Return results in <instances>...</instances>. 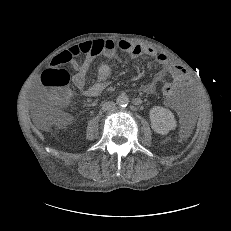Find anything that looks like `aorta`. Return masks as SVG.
<instances>
[{"label":"aorta","mask_w":231,"mask_h":231,"mask_svg":"<svg viewBox=\"0 0 231 231\" xmlns=\"http://www.w3.org/2000/svg\"><path fill=\"white\" fill-rule=\"evenodd\" d=\"M117 104L119 105V106H127L128 105V103H129V98H128V96L127 95H125V94H121V95H119L118 97H117Z\"/></svg>","instance_id":"aorta-1"}]
</instances>
